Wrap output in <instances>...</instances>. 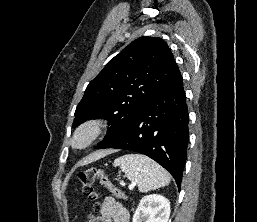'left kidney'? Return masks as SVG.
<instances>
[{
	"mask_svg": "<svg viewBox=\"0 0 257 222\" xmlns=\"http://www.w3.org/2000/svg\"><path fill=\"white\" fill-rule=\"evenodd\" d=\"M170 202L159 194L144 196L134 215L133 222H168Z\"/></svg>",
	"mask_w": 257,
	"mask_h": 222,
	"instance_id": "obj_1",
	"label": "left kidney"
}]
</instances>
